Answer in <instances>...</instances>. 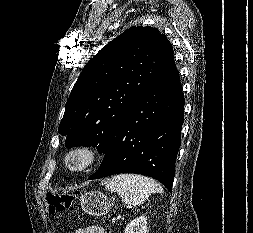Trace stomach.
Wrapping results in <instances>:
<instances>
[{
  "label": "stomach",
  "mask_w": 253,
  "mask_h": 233,
  "mask_svg": "<svg viewBox=\"0 0 253 233\" xmlns=\"http://www.w3.org/2000/svg\"><path fill=\"white\" fill-rule=\"evenodd\" d=\"M82 210L92 216H102L109 212L112 201L99 191H89L80 197Z\"/></svg>",
  "instance_id": "stomach-1"
}]
</instances>
